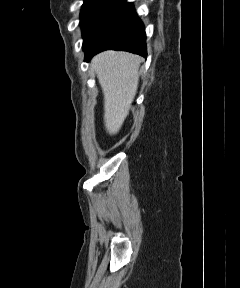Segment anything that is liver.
I'll return each mask as SVG.
<instances>
[{
	"instance_id": "6515ba94",
	"label": "liver",
	"mask_w": 240,
	"mask_h": 288,
	"mask_svg": "<svg viewBox=\"0 0 240 288\" xmlns=\"http://www.w3.org/2000/svg\"><path fill=\"white\" fill-rule=\"evenodd\" d=\"M143 58L127 52L105 51L92 60L104 94V122L109 134L121 129L129 114L139 82Z\"/></svg>"
}]
</instances>
